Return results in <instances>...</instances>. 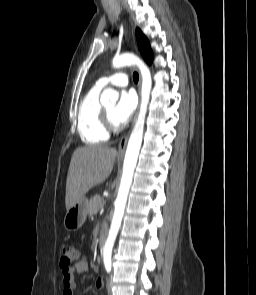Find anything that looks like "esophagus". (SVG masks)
<instances>
[{"mask_svg": "<svg viewBox=\"0 0 256 295\" xmlns=\"http://www.w3.org/2000/svg\"><path fill=\"white\" fill-rule=\"evenodd\" d=\"M140 89H141V76H140V79H139V85H138V93H139V97H140ZM137 113L135 114L134 116V119H133V123H132V126L135 124L136 122V119H137ZM129 135H130V131L124 135L121 140H120V143H119V147H118V157H123L124 156V153H125V149H126V145H127V141H128V138H129Z\"/></svg>", "mask_w": 256, "mask_h": 295, "instance_id": "34e87169", "label": "esophagus"}]
</instances>
